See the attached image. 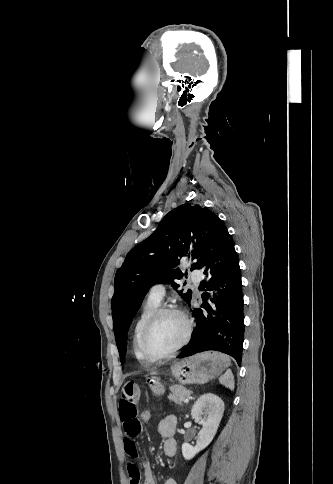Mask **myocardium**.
Wrapping results in <instances>:
<instances>
[{"label": "myocardium", "mask_w": 333, "mask_h": 484, "mask_svg": "<svg viewBox=\"0 0 333 484\" xmlns=\"http://www.w3.org/2000/svg\"><path fill=\"white\" fill-rule=\"evenodd\" d=\"M167 314H176L180 316L186 326V331L183 339L181 342L170 352L163 354V355H154L152 354L149 349H148V338L150 335V332L155 325V323L164 315ZM193 333V322L189 318V316L181 309L177 307H160L158 308L148 319L146 322L143 331H142V336H141V350L144 356L150 360L151 362H159L163 361L169 358H172L175 356L181 349H183L189 342L191 336Z\"/></svg>", "instance_id": "1"}]
</instances>
